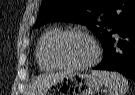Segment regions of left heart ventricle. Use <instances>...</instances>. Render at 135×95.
I'll return each mask as SVG.
<instances>
[{"mask_svg": "<svg viewBox=\"0 0 135 95\" xmlns=\"http://www.w3.org/2000/svg\"><path fill=\"white\" fill-rule=\"evenodd\" d=\"M56 55L66 64L80 65L93 58L94 48L87 38L70 35L59 42L56 47Z\"/></svg>", "mask_w": 135, "mask_h": 95, "instance_id": "1", "label": "left heart ventricle"}]
</instances>
